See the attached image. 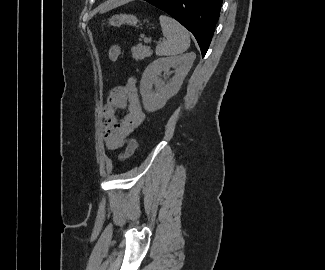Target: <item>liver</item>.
Returning a JSON list of instances; mask_svg holds the SVG:
<instances>
[{"label":"liver","mask_w":325,"mask_h":270,"mask_svg":"<svg viewBox=\"0 0 325 270\" xmlns=\"http://www.w3.org/2000/svg\"><path fill=\"white\" fill-rule=\"evenodd\" d=\"M127 1L128 0H113V1H111L109 3H106V4H104V5H102L100 7V13L101 14L106 13V12L118 7L119 5H121V4H123V3L127 2Z\"/></svg>","instance_id":"6515ba94"}]
</instances>
